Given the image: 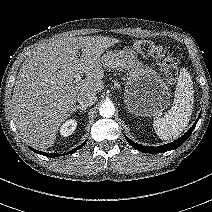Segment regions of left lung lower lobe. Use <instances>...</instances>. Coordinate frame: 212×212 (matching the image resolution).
Segmentation results:
<instances>
[{
    "label": "left lung lower lobe",
    "mask_w": 212,
    "mask_h": 212,
    "mask_svg": "<svg viewBox=\"0 0 212 212\" xmlns=\"http://www.w3.org/2000/svg\"><path fill=\"white\" fill-rule=\"evenodd\" d=\"M199 118H200V115H199L198 119L196 120V122L193 124V126L188 130V132L186 134H184L181 138H179L169 144H165V145L158 146V147H150V146H143V145L137 144V143L131 141L130 139H128L127 137H126V140L132 147H134L137 150L142 151V152L155 154V153H163L166 151H170V150L176 149L177 147H179L182 143H184L188 139V137L194 130Z\"/></svg>",
    "instance_id": "obj_1"
}]
</instances>
